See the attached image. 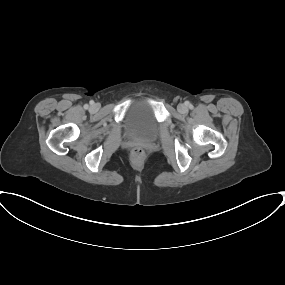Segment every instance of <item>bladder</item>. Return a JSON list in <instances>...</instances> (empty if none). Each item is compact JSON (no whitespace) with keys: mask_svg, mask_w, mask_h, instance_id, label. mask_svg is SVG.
Wrapping results in <instances>:
<instances>
[{"mask_svg":"<svg viewBox=\"0 0 285 285\" xmlns=\"http://www.w3.org/2000/svg\"><path fill=\"white\" fill-rule=\"evenodd\" d=\"M124 125L131 136L144 140H153L159 131L151 104L143 100L136 101L129 106Z\"/></svg>","mask_w":285,"mask_h":285,"instance_id":"bladder-1","label":"bladder"}]
</instances>
